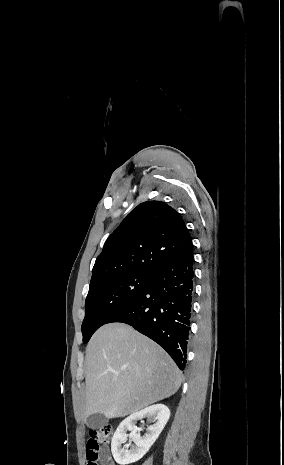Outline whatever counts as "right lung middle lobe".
<instances>
[{
  "instance_id": "obj_1",
  "label": "right lung middle lobe",
  "mask_w": 284,
  "mask_h": 465,
  "mask_svg": "<svg viewBox=\"0 0 284 465\" xmlns=\"http://www.w3.org/2000/svg\"><path fill=\"white\" fill-rule=\"evenodd\" d=\"M152 275L126 274L100 281L89 286L82 323L83 343L93 333L129 304L149 283Z\"/></svg>"
}]
</instances>
